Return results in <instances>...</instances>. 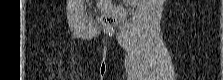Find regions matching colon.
<instances>
[{
	"label": "colon",
	"instance_id": "5ec220e1",
	"mask_svg": "<svg viewBox=\"0 0 223 80\" xmlns=\"http://www.w3.org/2000/svg\"><path fill=\"white\" fill-rule=\"evenodd\" d=\"M100 20H101L102 24H104V25H112L116 22L117 17L113 13H106L101 16Z\"/></svg>",
	"mask_w": 223,
	"mask_h": 80
}]
</instances>
